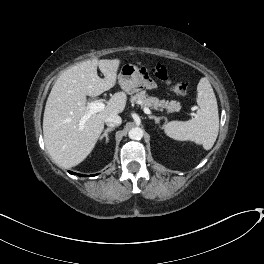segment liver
Returning <instances> with one entry per match:
<instances>
[{"instance_id":"liver-1","label":"liver","mask_w":264,"mask_h":264,"mask_svg":"<svg viewBox=\"0 0 264 264\" xmlns=\"http://www.w3.org/2000/svg\"><path fill=\"white\" fill-rule=\"evenodd\" d=\"M120 62L119 59L83 61L65 70L55 82L45 106L43 134L46 149L58 165L71 168L80 164L95 147L105 120L123 112L127 96L117 92L102 111L80 124L88 111L86 96L96 97L113 88ZM97 67L103 79L98 76Z\"/></svg>"}]
</instances>
